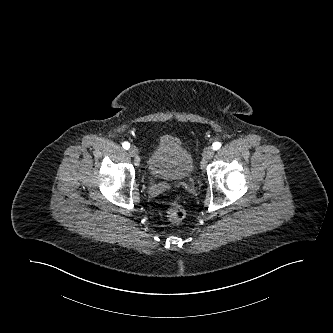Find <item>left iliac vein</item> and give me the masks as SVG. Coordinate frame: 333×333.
Returning a JSON list of instances; mask_svg holds the SVG:
<instances>
[{
    "label": "left iliac vein",
    "instance_id": "left-iliac-vein-1",
    "mask_svg": "<svg viewBox=\"0 0 333 333\" xmlns=\"http://www.w3.org/2000/svg\"><path fill=\"white\" fill-rule=\"evenodd\" d=\"M213 155H214V151L212 150V148L206 147L202 153L204 162H207L208 160H210L213 157Z\"/></svg>",
    "mask_w": 333,
    "mask_h": 333
}]
</instances>
